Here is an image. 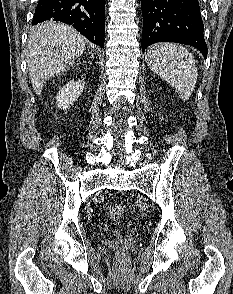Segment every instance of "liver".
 <instances>
[{"label": "liver", "instance_id": "1", "mask_svg": "<svg viewBox=\"0 0 233 294\" xmlns=\"http://www.w3.org/2000/svg\"><path fill=\"white\" fill-rule=\"evenodd\" d=\"M85 49V39L68 25L52 21L37 25L28 38L27 69L40 95L45 81L64 72Z\"/></svg>", "mask_w": 233, "mask_h": 294}]
</instances>
